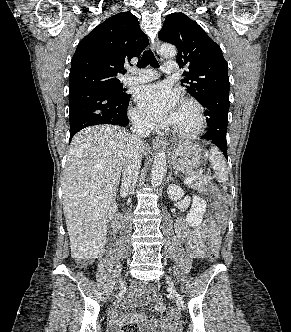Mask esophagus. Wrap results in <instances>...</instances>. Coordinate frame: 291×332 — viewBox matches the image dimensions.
Wrapping results in <instances>:
<instances>
[{"instance_id":"esophagus-1","label":"esophagus","mask_w":291,"mask_h":332,"mask_svg":"<svg viewBox=\"0 0 291 332\" xmlns=\"http://www.w3.org/2000/svg\"><path fill=\"white\" fill-rule=\"evenodd\" d=\"M152 50H153V53L154 55L156 56V58L159 60V61H163V58L160 54V42L158 39H155L153 45H152ZM166 145V141L164 140V138L162 137H155L153 140H152V146L153 147H161V146H165Z\"/></svg>"}]
</instances>
